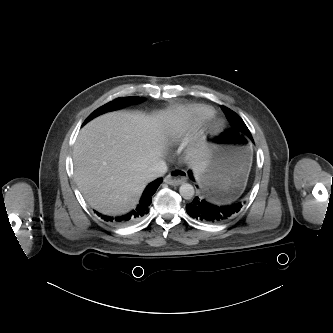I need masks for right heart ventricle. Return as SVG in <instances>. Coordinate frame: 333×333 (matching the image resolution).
I'll return each instance as SVG.
<instances>
[{
	"mask_svg": "<svg viewBox=\"0 0 333 333\" xmlns=\"http://www.w3.org/2000/svg\"><path fill=\"white\" fill-rule=\"evenodd\" d=\"M212 115L213 110L201 104L178 108L173 116V125L169 132V139L176 141L195 121L207 119Z\"/></svg>",
	"mask_w": 333,
	"mask_h": 333,
	"instance_id": "obj_1",
	"label": "right heart ventricle"
}]
</instances>
